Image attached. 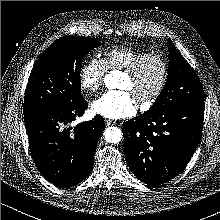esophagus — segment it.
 <instances>
[{"mask_svg": "<svg viewBox=\"0 0 220 220\" xmlns=\"http://www.w3.org/2000/svg\"><path fill=\"white\" fill-rule=\"evenodd\" d=\"M104 122H105L106 126H109L113 123V121L110 119H105Z\"/></svg>", "mask_w": 220, "mask_h": 220, "instance_id": "34e87169", "label": "esophagus"}]
</instances>
